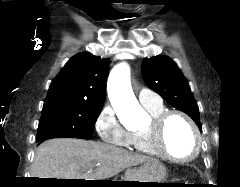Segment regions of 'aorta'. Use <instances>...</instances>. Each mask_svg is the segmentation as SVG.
Listing matches in <instances>:
<instances>
[{"label": "aorta", "mask_w": 240, "mask_h": 187, "mask_svg": "<svg viewBox=\"0 0 240 187\" xmlns=\"http://www.w3.org/2000/svg\"><path fill=\"white\" fill-rule=\"evenodd\" d=\"M108 97L120 120L138 123L146 112L138 103L130 83V69L126 63L116 65L107 82Z\"/></svg>", "instance_id": "762f6f07"}]
</instances>
